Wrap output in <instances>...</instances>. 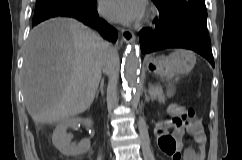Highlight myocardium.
<instances>
[{
  "label": "myocardium",
  "mask_w": 242,
  "mask_h": 160,
  "mask_svg": "<svg viewBox=\"0 0 242 160\" xmlns=\"http://www.w3.org/2000/svg\"><path fill=\"white\" fill-rule=\"evenodd\" d=\"M152 17H153V14L150 13V14L148 15V18H152Z\"/></svg>",
  "instance_id": "obj_1"
}]
</instances>
